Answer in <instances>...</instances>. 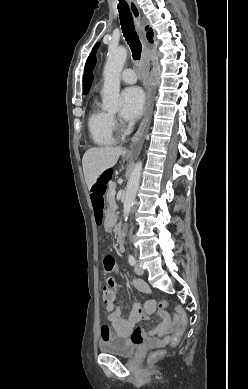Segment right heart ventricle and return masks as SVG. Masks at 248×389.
I'll return each instance as SVG.
<instances>
[{"mask_svg": "<svg viewBox=\"0 0 248 389\" xmlns=\"http://www.w3.org/2000/svg\"><path fill=\"white\" fill-rule=\"evenodd\" d=\"M87 127L92 142L99 146H110L115 143L112 116L101 109L95 102L87 120Z\"/></svg>", "mask_w": 248, "mask_h": 389, "instance_id": "right-heart-ventricle-1", "label": "right heart ventricle"}]
</instances>
